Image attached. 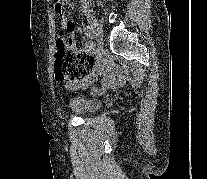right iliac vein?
Segmentation results:
<instances>
[{"label": "right iliac vein", "instance_id": "right-iliac-vein-1", "mask_svg": "<svg viewBox=\"0 0 207 179\" xmlns=\"http://www.w3.org/2000/svg\"><path fill=\"white\" fill-rule=\"evenodd\" d=\"M85 17L87 18L88 23L90 25V28L93 31L94 37H95L96 41L98 42V49H99V51H102L103 50L102 29L100 28L96 18L91 13L86 12Z\"/></svg>", "mask_w": 207, "mask_h": 179}]
</instances>
